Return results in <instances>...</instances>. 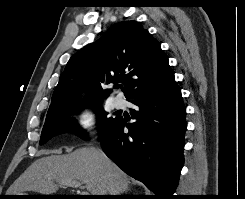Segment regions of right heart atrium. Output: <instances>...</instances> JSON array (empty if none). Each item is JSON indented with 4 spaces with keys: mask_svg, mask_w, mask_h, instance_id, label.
Returning <instances> with one entry per match:
<instances>
[{
    "mask_svg": "<svg viewBox=\"0 0 245 199\" xmlns=\"http://www.w3.org/2000/svg\"><path fill=\"white\" fill-rule=\"evenodd\" d=\"M97 116L91 109H84L80 111L76 117L77 126L84 131H89L96 126Z\"/></svg>",
    "mask_w": 245,
    "mask_h": 199,
    "instance_id": "d8ad5b80",
    "label": "right heart atrium"
}]
</instances>
